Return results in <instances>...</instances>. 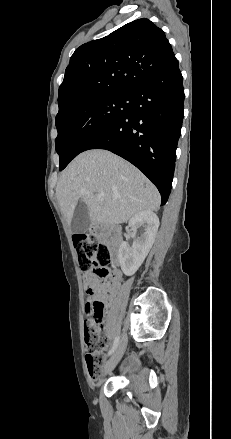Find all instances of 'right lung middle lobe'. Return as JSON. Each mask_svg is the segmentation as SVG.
I'll use <instances>...</instances> for the list:
<instances>
[{"instance_id":"right-lung-middle-lobe-1","label":"right lung middle lobe","mask_w":231,"mask_h":439,"mask_svg":"<svg viewBox=\"0 0 231 439\" xmlns=\"http://www.w3.org/2000/svg\"><path fill=\"white\" fill-rule=\"evenodd\" d=\"M131 98V94L97 96L56 116L58 136L55 144L60 170L82 152L89 141L129 111Z\"/></svg>"}]
</instances>
